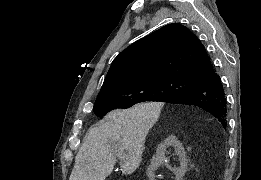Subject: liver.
<instances>
[{
  "label": "liver",
  "mask_w": 261,
  "mask_h": 180,
  "mask_svg": "<svg viewBox=\"0 0 261 180\" xmlns=\"http://www.w3.org/2000/svg\"><path fill=\"white\" fill-rule=\"evenodd\" d=\"M157 102L113 110L92 126L75 158L69 180H106L122 160L124 174L137 170L146 136L157 122Z\"/></svg>",
  "instance_id": "liver-1"
}]
</instances>
